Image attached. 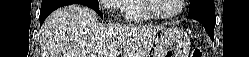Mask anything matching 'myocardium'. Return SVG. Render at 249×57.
<instances>
[{"instance_id": "myocardium-1", "label": "myocardium", "mask_w": 249, "mask_h": 57, "mask_svg": "<svg viewBox=\"0 0 249 57\" xmlns=\"http://www.w3.org/2000/svg\"><path fill=\"white\" fill-rule=\"evenodd\" d=\"M153 1L154 0H143V6H144V10L147 12V14L151 18L156 19V20H166V19L174 18L183 12L184 6H185L184 0H178L179 7L175 12L168 13V14H159L156 11H154Z\"/></svg>"}]
</instances>
